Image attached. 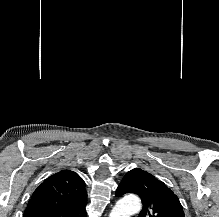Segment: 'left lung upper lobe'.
I'll list each match as a JSON object with an SVG mask.
<instances>
[{
  "label": "left lung upper lobe",
  "instance_id": "left-lung-upper-lobe-1",
  "mask_svg": "<svg viewBox=\"0 0 219 217\" xmlns=\"http://www.w3.org/2000/svg\"><path fill=\"white\" fill-rule=\"evenodd\" d=\"M139 195L143 203L139 217H184L178 197L163 182L140 168L130 170L117 188L116 196Z\"/></svg>",
  "mask_w": 219,
  "mask_h": 217
}]
</instances>
